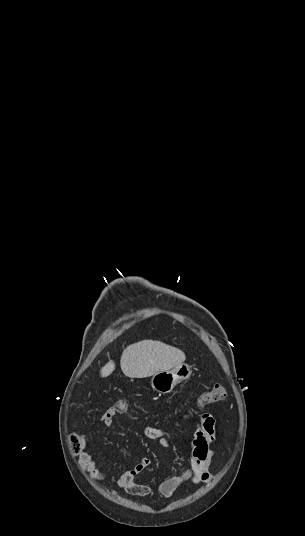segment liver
<instances>
[{"label":"liver","instance_id":"1","mask_svg":"<svg viewBox=\"0 0 305 536\" xmlns=\"http://www.w3.org/2000/svg\"><path fill=\"white\" fill-rule=\"evenodd\" d=\"M186 356L178 348L167 346L163 342L154 340H143L132 346H127L123 350L120 366L123 374L127 378H149L157 372L172 370L175 366L183 364ZM115 370V364L110 360L100 374L102 378H107Z\"/></svg>","mask_w":305,"mask_h":536}]
</instances>
